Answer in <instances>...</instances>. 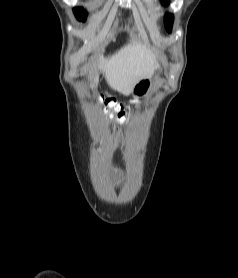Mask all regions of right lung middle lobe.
Instances as JSON below:
<instances>
[{
  "label": "right lung middle lobe",
  "mask_w": 238,
  "mask_h": 278,
  "mask_svg": "<svg viewBox=\"0 0 238 278\" xmlns=\"http://www.w3.org/2000/svg\"><path fill=\"white\" fill-rule=\"evenodd\" d=\"M74 14L79 21H85L86 11L83 8H74Z\"/></svg>",
  "instance_id": "dd1d6c3e"
}]
</instances>
